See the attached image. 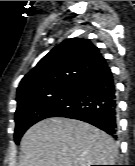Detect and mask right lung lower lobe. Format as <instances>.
<instances>
[{
  "instance_id": "obj_1",
  "label": "right lung lower lobe",
  "mask_w": 135,
  "mask_h": 166,
  "mask_svg": "<svg viewBox=\"0 0 135 166\" xmlns=\"http://www.w3.org/2000/svg\"><path fill=\"white\" fill-rule=\"evenodd\" d=\"M70 104L51 117H66L90 123L117 137V99L112 72L105 63L73 85Z\"/></svg>"
}]
</instances>
